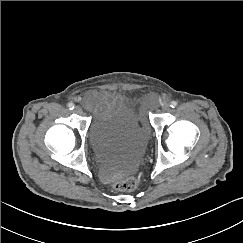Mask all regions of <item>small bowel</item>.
Returning a JSON list of instances; mask_svg holds the SVG:
<instances>
[{
  "instance_id": "c3829d8e",
  "label": "small bowel",
  "mask_w": 243,
  "mask_h": 243,
  "mask_svg": "<svg viewBox=\"0 0 243 243\" xmlns=\"http://www.w3.org/2000/svg\"><path fill=\"white\" fill-rule=\"evenodd\" d=\"M120 99L117 92L97 89L86 95L84 103L93 111H102L114 105Z\"/></svg>"
}]
</instances>
